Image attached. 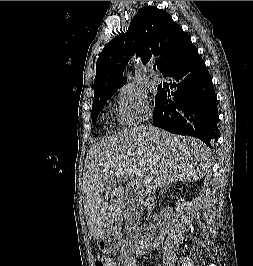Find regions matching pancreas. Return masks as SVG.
Instances as JSON below:
<instances>
[{"instance_id":"obj_1","label":"pancreas","mask_w":253,"mask_h":266,"mask_svg":"<svg viewBox=\"0 0 253 266\" xmlns=\"http://www.w3.org/2000/svg\"><path fill=\"white\" fill-rule=\"evenodd\" d=\"M135 219H137V220L140 219L139 213H138V211L135 209V207H130V208L127 210V221H128V225H127V227H128V228H130V227H132L133 225H135V222H134Z\"/></svg>"}]
</instances>
